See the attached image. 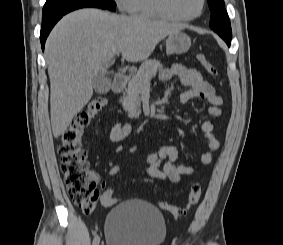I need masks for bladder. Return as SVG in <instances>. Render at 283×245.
<instances>
[{"mask_svg":"<svg viewBox=\"0 0 283 245\" xmlns=\"http://www.w3.org/2000/svg\"><path fill=\"white\" fill-rule=\"evenodd\" d=\"M166 236L167 228L161 211L144 200L120 202L106 217L107 245H163Z\"/></svg>","mask_w":283,"mask_h":245,"instance_id":"1","label":"bladder"}]
</instances>
